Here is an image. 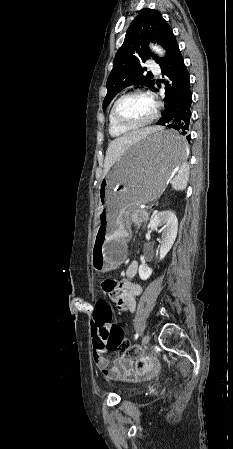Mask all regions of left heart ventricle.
Returning <instances> with one entry per match:
<instances>
[{
  "label": "left heart ventricle",
  "mask_w": 233,
  "mask_h": 449,
  "mask_svg": "<svg viewBox=\"0 0 233 449\" xmlns=\"http://www.w3.org/2000/svg\"><path fill=\"white\" fill-rule=\"evenodd\" d=\"M154 111L153 101L142 95L131 96L120 102L117 108L119 119L129 124L146 121Z\"/></svg>",
  "instance_id": "obj_1"
}]
</instances>
